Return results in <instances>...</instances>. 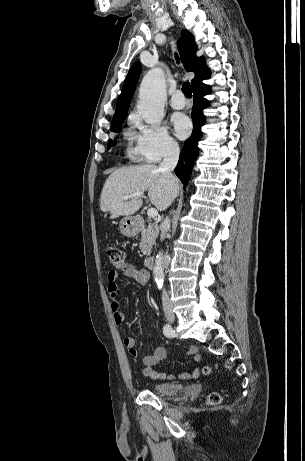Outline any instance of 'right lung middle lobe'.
<instances>
[{"instance_id": "right-lung-middle-lobe-1", "label": "right lung middle lobe", "mask_w": 305, "mask_h": 461, "mask_svg": "<svg viewBox=\"0 0 305 461\" xmlns=\"http://www.w3.org/2000/svg\"><path fill=\"white\" fill-rule=\"evenodd\" d=\"M123 122H124V120L112 123L110 130L113 131V132H120ZM114 144H115V142L109 140L108 141V149H110L111 145H114Z\"/></svg>"}]
</instances>
